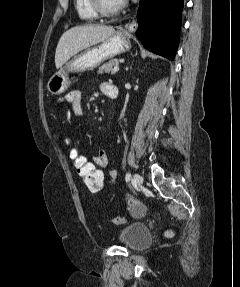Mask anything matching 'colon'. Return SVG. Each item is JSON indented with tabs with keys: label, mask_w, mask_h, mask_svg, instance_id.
I'll return each mask as SVG.
<instances>
[{
	"label": "colon",
	"mask_w": 240,
	"mask_h": 287,
	"mask_svg": "<svg viewBox=\"0 0 240 287\" xmlns=\"http://www.w3.org/2000/svg\"><path fill=\"white\" fill-rule=\"evenodd\" d=\"M61 141L67 151L76 174L84 182L91 192H99L104 185V174L96 164L84 155L75 145L73 139L67 135L61 137ZM142 215V213H138ZM125 221L123 216H116L114 222L123 224Z\"/></svg>",
	"instance_id": "1"
}]
</instances>
